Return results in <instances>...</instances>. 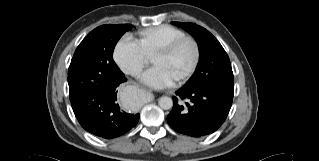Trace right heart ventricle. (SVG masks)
I'll return each mask as SVG.
<instances>
[{
	"label": "right heart ventricle",
	"instance_id": "e07e8e85",
	"mask_svg": "<svg viewBox=\"0 0 319 161\" xmlns=\"http://www.w3.org/2000/svg\"><path fill=\"white\" fill-rule=\"evenodd\" d=\"M183 36H185L183 30L172 25L162 24L141 30L137 44L145 56L151 58L162 46Z\"/></svg>",
	"mask_w": 319,
	"mask_h": 161
}]
</instances>
